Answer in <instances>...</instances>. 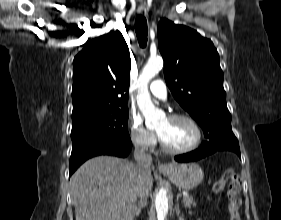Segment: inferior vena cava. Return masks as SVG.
I'll list each match as a JSON object with an SVG mask.
<instances>
[{"label":"inferior vena cava","mask_w":281,"mask_h":220,"mask_svg":"<svg viewBox=\"0 0 281 220\" xmlns=\"http://www.w3.org/2000/svg\"><path fill=\"white\" fill-rule=\"evenodd\" d=\"M134 158L136 161V168L138 171V178L136 181L137 186V195L142 201H146L147 197L151 191V181L149 176L151 174V155L145 153V150L138 147H135Z\"/></svg>","instance_id":"602c4592"}]
</instances>
